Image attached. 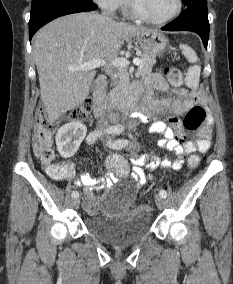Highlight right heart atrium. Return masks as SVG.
<instances>
[{"mask_svg":"<svg viewBox=\"0 0 233 284\" xmlns=\"http://www.w3.org/2000/svg\"><path fill=\"white\" fill-rule=\"evenodd\" d=\"M102 9L107 12H114L123 7L126 0H94Z\"/></svg>","mask_w":233,"mask_h":284,"instance_id":"d8ad5b80","label":"right heart atrium"}]
</instances>
